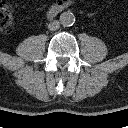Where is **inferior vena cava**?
<instances>
[{
    "instance_id": "602c4592",
    "label": "inferior vena cava",
    "mask_w": 128,
    "mask_h": 128,
    "mask_svg": "<svg viewBox=\"0 0 128 128\" xmlns=\"http://www.w3.org/2000/svg\"><path fill=\"white\" fill-rule=\"evenodd\" d=\"M59 27H60V23L57 20H54L48 24V29L50 31H55V30L59 29Z\"/></svg>"
}]
</instances>
